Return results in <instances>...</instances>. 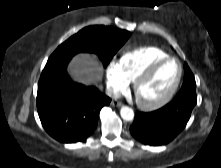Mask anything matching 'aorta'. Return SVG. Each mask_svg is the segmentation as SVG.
I'll use <instances>...</instances> for the list:
<instances>
[{
  "label": "aorta",
  "instance_id": "aorta-1",
  "mask_svg": "<svg viewBox=\"0 0 221 168\" xmlns=\"http://www.w3.org/2000/svg\"><path fill=\"white\" fill-rule=\"evenodd\" d=\"M121 117L126 121H131L134 118V112L130 107L124 106L120 110Z\"/></svg>",
  "mask_w": 221,
  "mask_h": 168
}]
</instances>
